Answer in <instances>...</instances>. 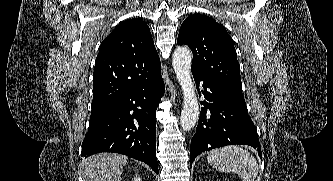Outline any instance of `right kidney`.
<instances>
[{"instance_id":"ca27d5eb","label":"right kidney","mask_w":333,"mask_h":181,"mask_svg":"<svg viewBox=\"0 0 333 181\" xmlns=\"http://www.w3.org/2000/svg\"><path fill=\"white\" fill-rule=\"evenodd\" d=\"M133 181H142V179H141V177H139V176L137 177V176H136V177L133 179Z\"/></svg>"}]
</instances>
